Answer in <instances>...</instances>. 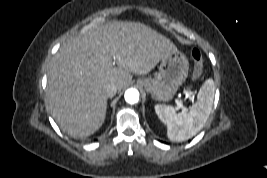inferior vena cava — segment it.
Listing matches in <instances>:
<instances>
[{"label":"inferior vena cava","mask_w":267,"mask_h":178,"mask_svg":"<svg viewBox=\"0 0 267 178\" xmlns=\"http://www.w3.org/2000/svg\"><path fill=\"white\" fill-rule=\"evenodd\" d=\"M117 92V86L114 83H108L105 87L107 97H113Z\"/></svg>","instance_id":"602c4592"}]
</instances>
